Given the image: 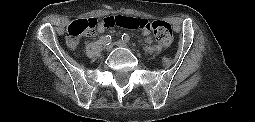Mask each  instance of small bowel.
Listing matches in <instances>:
<instances>
[{"label":"small bowel","mask_w":255,"mask_h":122,"mask_svg":"<svg viewBox=\"0 0 255 122\" xmlns=\"http://www.w3.org/2000/svg\"><path fill=\"white\" fill-rule=\"evenodd\" d=\"M108 28H110L108 25H107V23H106V18L105 19H103L99 24H98V26H97V29H96V33L97 34H102V33H104ZM143 34L144 35H149V31H143ZM146 42L147 43H151L152 42V39L150 38V37H147L146 38Z\"/></svg>","instance_id":"small-bowel-1"}]
</instances>
